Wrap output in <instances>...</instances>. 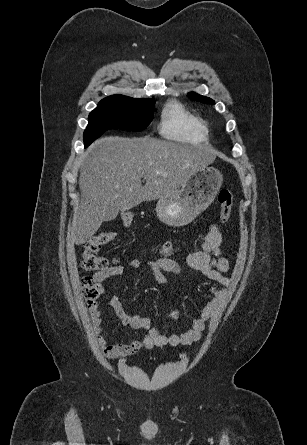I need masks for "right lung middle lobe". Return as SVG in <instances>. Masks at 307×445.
<instances>
[{"instance_id":"obj_1","label":"right lung middle lobe","mask_w":307,"mask_h":445,"mask_svg":"<svg viewBox=\"0 0 307 445\" xmlns=\"http://www.w3.org/2000/svg\"><path fill=\"white\" fill-rule=\"evenodd\" d=\"M154 103L120 97L102 99L88 117L85 147L109 129L142 131L153 119Z\"/></svg>"}]
</instances>
